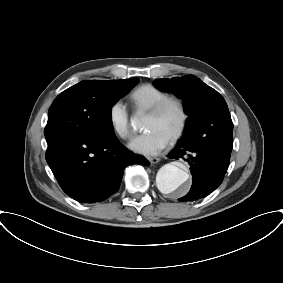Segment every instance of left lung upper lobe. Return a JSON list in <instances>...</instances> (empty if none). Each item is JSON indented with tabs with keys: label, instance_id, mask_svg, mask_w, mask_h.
<instances>
[{
	"label": "left lung upper lobe",
	"instance_id": "left-lung-upper-lobe-1",
	"mask_svg": "<svg viewBox=\"0 0 283 283\" xmlns=\"http://www.w3.org/2000/svg\"><path fill=\"white\" fill-rule=\"evenodd\" d=\"M154 85L184 99L189 116L185 130L197 129L200 140L214 150L232 151L233 123L224 98L216 90L193 75L157 79Z\"/></svg>",
	"mask_w": 283,
	"mask_h": 283
}]
</instances>
